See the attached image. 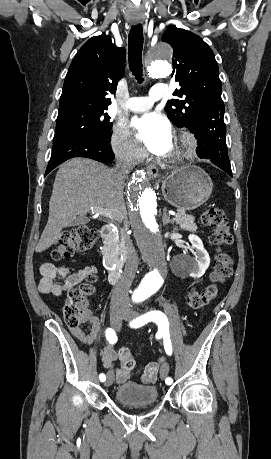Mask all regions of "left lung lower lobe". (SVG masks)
<instances>
[{
    "label": "left lung lower lobe",
    "instance_id": "1",
    "mask_svg": "<svg viewBox=\"0 0 271 459\" xmlns=\"http://www.w3.org/2000/svg\"><path fill=\"white\" fill-rule=\"evenodd\" d=\"M197 154L199 158L211 161L232 177L231 165L227 153L226 126L223 118L197 128Z\"/></svg>",
    "mask_w": 271,
    "mask_h": 459
}]
</instances>
